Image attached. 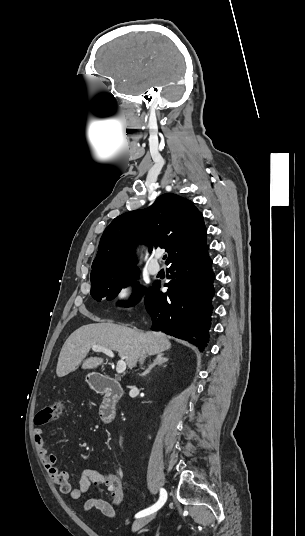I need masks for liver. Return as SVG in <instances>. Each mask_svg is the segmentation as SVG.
<instances>
[{
	"mask_svg": "<svg viewBox=\"0 0 305 536\" xmlns=\"http://www.w3.org/2000/svg\"><path fill=\"white\" fill-rule=\"evenodd\" d=\"M95 322H102L94 318ZM92 346H104L108 350L118 352V356L125 360L128 368H135L142 354H160L171 348L168 336L162 332H139L118 324H88L75 330L59 354L56 374L58 378L74 372L82 364L83 370H94L102 366L103 358H88Z\"/></svg>",
	"mask_w": 305,
	"mask_h": 536,
	"instance_id": "liver-1",
	"label": "liver"
}]
</instances>
